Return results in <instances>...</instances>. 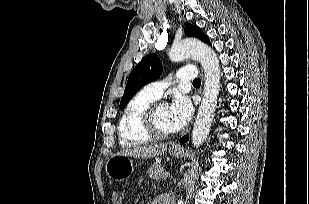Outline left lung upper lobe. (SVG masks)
<instances>
[{"instance_id":"left-lung-upper-lobe-1","label":"left lung upper lobe","mask_w":309,"mask_h":204,"mask_svg":"<svg viewBox=\"0 0 309 204\" xmlns=\"http://www.w3.org/2000/svg\"><path fill=\"white\" fill-rule=\"evenodd\" d=\"M185 34L189 37H196L211 45L208 36L197 26L185 23ZM162 73V63L157 55L149 54L145 56L134 70L130 73L124 95L120 102V109H124L129 100L145 84L155 81Z\"/></svg>"}]
</instances>
